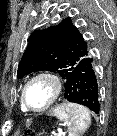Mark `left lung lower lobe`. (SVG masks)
Masks as SVG:
<instances>
[{
  "mask_svg": "<svg viewBox=\"0 0 117 136\" xmlns=\"http://www.w3.org/2000/svg\"><path fill=\"white\" fill-rule=\"evenodd\" d=\"M64 98L99 113V86L93 57L85 56L71 71L65 83Z\"/></svg>",
  "mask_w": 117,
  "mask_h": 136,
  "instance_id": "0a47b994",
  "label": "left lung lower lobe"
}]
</instances>
